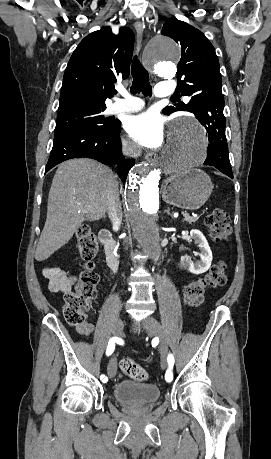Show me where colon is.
Here are the masks:
<instances>
[{"label":"colon","instance_id":"obj_1","mask_svg":"<svg viewBox=\"0 0 271 459\" xmlns=\"http://www.w3.org/2000/svg\"><path fill=\"white\" fill-rule=\"evenodd\" d=\"M210 236L215 242L227 240L231 234V221L223 209H215L205 219ZM77 248L84 262V268L79 274L77 284L64 295V317L68 324L77 326L85 321L90 309V303L97 293L99 276L93 270V259L98 251L95 234L87 225H82L76 232ZM227 281V266L218 261L201 278L189 283L183 291L185 302L192 307L200 306L205 300L206 291L210 288L223 286ZM121 370L130 378L145 381L147 371L131 358L120 362Z\"/></svg>","mask_w":271,"mask_h":459}]
</instances>
